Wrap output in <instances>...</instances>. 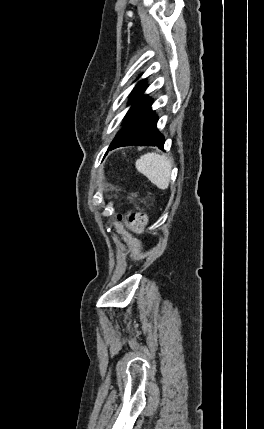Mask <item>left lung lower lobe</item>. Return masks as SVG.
I'll use <instances>...</instances> for the list:
<instances>
[{
	"label": "left lung lower lobe",
	"mask_w": 264,
	"mask_h": 429,
	"mask_svg": "<svg viewBox=\"0 0 264 429\" xmlns=\"http://www.w3.org/2000/svg\"><path fill=\"white\" fill-rule=\"evenodd\" d=\"M152 101L145 98L131 115L121 134L115 139L108 150L121 146L141 145L164 147V137L157 130V116L151 110Z\"/></svg>",
	"instance_id": "1"
}]
</instances>
